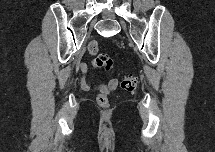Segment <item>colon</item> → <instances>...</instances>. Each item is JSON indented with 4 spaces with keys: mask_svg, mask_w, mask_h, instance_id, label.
Segmentation results:
<instances>
[{
    "mask_svg": "<svg viewBox=\"0 0 215 152\" xmlns=\"http://www.w3.org/2000/svg\"><path fill=\"white\" fill-rule=\"evenodd\" d=\"M98 43L96 41H91L88 44V52L94 56L92 64L97 68H104L109 71L113 67V61L107 54L98 53ZM121 87L127 92H133L137 88V80L130 74H125L121 80ZM97 102L101 106H106L108 104V98L105 94H100L97 96Z\"/></svg>",
    "mask_w": 215,
    "mask_h": 152,
    "instance_id": "5ec220e1",
    "label": "colon"
}]
</instances>
